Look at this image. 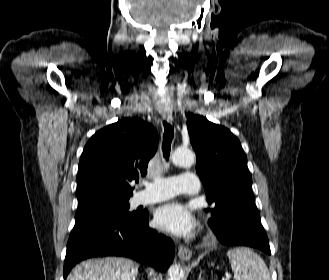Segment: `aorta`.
I'll list each match as a JSON object with an SVG mask.
<instances>
[{
    "label": "aorta",
    "mask_w": 329,
    "mask_h": 280,
    "mask_svg": "<svg viewBox=\"0 0 329 280\" xmlns=\"http://www.w3.org/2000/svg\"><path fill=\"white\" fill-rule=\"evenodd\" d=\"M195 156L189 149L178 148L172 154V162L176 166L189 167L193 165ZM183 271L179 264H173L167 271V280H181Z\"/></svg>",
    "instance_id": "obj_1"
}]
</instances>
